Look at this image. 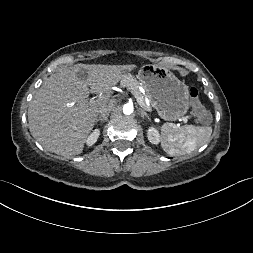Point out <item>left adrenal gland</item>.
Here are the masks:
<instances>
[{"label":"left adrenal gland","mask_w":253,"mask_h":253,"mask_svg":"<svg viewBox=\"0 0 253 253\" xmlns=\"http://www.w3.org/2000/svg\"><path fill=\"white\" fill-rule=\"evenodd\" d=\"M139 110H140V115L142 118L146 117L148 120H151L148 114L144 111V109L139 108Z\"/></svg>","instance_id":"obj_1"}]
</instances>
